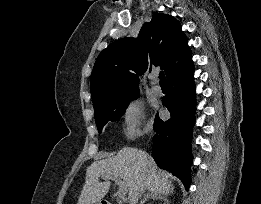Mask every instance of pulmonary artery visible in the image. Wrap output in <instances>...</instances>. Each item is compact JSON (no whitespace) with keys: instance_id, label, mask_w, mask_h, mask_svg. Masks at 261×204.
Returning a JSON list of instances; mask_svg holds the SVG:
<instances>
[{"instance_id":"pulmonary-artery-1","label":"pulmonary artery","mask_w":261,"mask_h":204,"mask_svg":"<svg viewBox=\"0 0 261 204\" xmlns=\"http://www.w3.org/2000/svg\"><path fill=\"white\" fill-rule=\"evenodd\" d=\"M153 80L156 81V76H153ZM152 92L155 94V95H160L162 93V89L161 87L158 85V84H154L152 86Z\"/></svg>"}]
</instances>
